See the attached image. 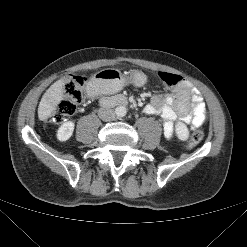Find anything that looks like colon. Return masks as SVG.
Returning <instances> with one entry per match:
<instances>
[{
	"mask_svg": "<svg viewBox=\"0 0 247 247\" xmlns=\"http://www.w3.org/2000/svg\"><path fill=\"white\" fill-rule=\"evenodd\" d=\"M158 80L167 87L177 85L182 78L173 73L159 72L157 74ZM86 83V78L77 75H70L64 84V97L57 104L49 120L53 123H61L71 117L77 109V106L83 99V90ZM204 137V131L199 129L191 136L188 147L197 145Z\"/></svg>",
	"mask_w": 247,
	"mask_h": 247,
	"instance_id": "colon-1",
	"label": "colon"
}]
</instances>
